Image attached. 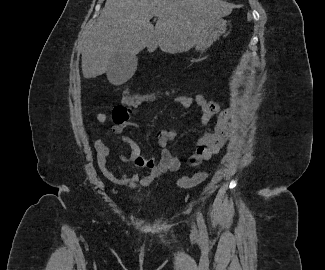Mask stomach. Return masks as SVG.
Instances as JSON below:
<instances>
[{"label":"stomach","mask_w":325,"mask_h":270,"mask_svg":"<svg viewBox=\"0 0 325 270\" xmlns=\"http://www.w3.org/2000/svg\"><path fill=\"white\" fill-rule=\"evenodd\" d=\"M227 28V22L222 18L217 19L212 26H210L199 44L196 46L197 50L205 51L213 42H215L221 35H223Z\"/></svg>","instance_id":"obj_1"}]
</instances>
